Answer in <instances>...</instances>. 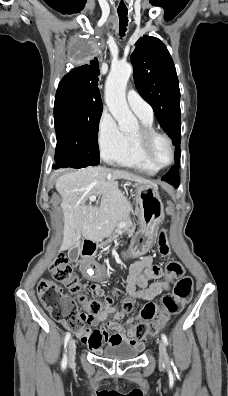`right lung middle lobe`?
I'll use <instances>...</instances> for the list:
<instances>
[{
  "mask_svg": "<svg viewBox=\"0 0 228 396\" xmlns=\"http://www.w3.org/2000/svg\"><path fill=\"white\" fill-rule=\"evenodd\" d=\"M85 50L82 58L90 56ZM102 104H90L70 92L58 91L54 105L56 165L84 168L99 164L98 126Z\"/></svg>",
  "mask_w": 228,
  "mask_h": 396,
  "instance_id": "right-lung-middle-lobe-1",
  "label": "right lung middle lobe"
}]
</instances>
